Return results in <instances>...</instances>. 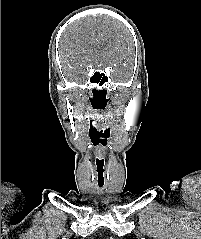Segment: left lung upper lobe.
Returning a JSON list of instances; mask_svg holds the SVG:
<instances>
[{
  "label": "left lung upper lobe",
  "instance_id": "obj_1",
  "mask_svg": "<svg viewBox=\"0 0 201 239\" xmlns=\"http://www.w3.org/2000/svg\"><path fill=\"white\" fill-rule=\"evenodd\" d=\"M129 239H137V238H129Z\"/></svg>",
  "mask_w": 201,
  "mask_h": 239
}]
</instances>
